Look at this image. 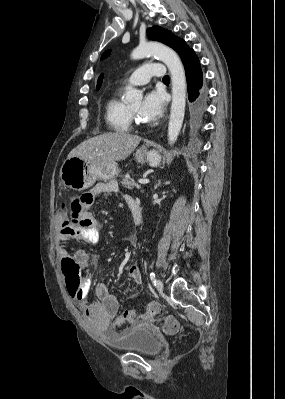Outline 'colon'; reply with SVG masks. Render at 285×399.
I'll return each instance as SVG.
<instances>
[{
    "label": "colon",
    "instance_id": "1",
    "mask_svg": "<svg viewBox=\"0 0 285 399\" xmlns=\"http://www.w3.org/2000/svg\"><path fill=\"white\" fill-rule=\"evenodd\" d=\"M93 199L94 195L88 194L78 201L70 202L66 199L62 200L60 202V211L62 214L63 222H69L74 227L85 229L90 221L86 216L84 207L91 205ZM61 269L65 277V282L69 293L78 299L81 298V267L77 260L74 257L63 258L61 260ZM158 311L159 307L155 303L149 304L145 308V314L148 317H154L158 313ZM139 315V310L127 309L118 316H116L113 322L114 326L123 327L126 325L134 324L137 321ZM162 324L164 330L167 332H173L177 328L176 322L172 319H163Z\"/></svg>",
    "mask_w": 285,
    "mask_h": 399
}]
</instances>
